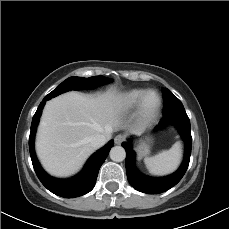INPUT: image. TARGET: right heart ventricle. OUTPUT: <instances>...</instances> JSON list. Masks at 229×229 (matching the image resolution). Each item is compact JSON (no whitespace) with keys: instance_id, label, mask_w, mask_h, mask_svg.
<instances>
[{"instance_id":"e07e8e85","label":"right heart ventricle","mask_w":229,"mask_h":229,"mask_svg":"<svg viewBox=\"0 0 229 229\" xmlns=\"http://www.w3.org/2000/svg\"><path fill=\"white\" fill-rule=\"evenodd\" d=\"M146 89H132L114 100V107L117 112L126 114L134 110L140 103L143 95L147 92Z\"/></svg>"}]
</instances>
